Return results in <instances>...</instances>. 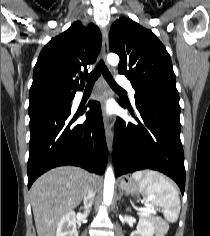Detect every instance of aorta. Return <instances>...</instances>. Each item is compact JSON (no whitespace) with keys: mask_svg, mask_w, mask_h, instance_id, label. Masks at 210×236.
I'll return each instance as SVG.
<instances>
[{"mask_svg":"<svg viewBox=\"0 0 210 236\" xmlns=\"http://www.w3.org/2000/svg\"><path fill=\"white\" fill-rule=\"evenodd\" d=\"M108 63L112 66L119 64V56L115 53H111L107 56ZM114 183L115 177L113 173V168L109 166L105 173L104 179V193L103 201L106 206H109L112 202L113 193H114Z\"/></svg>","mask_w":210,"mask_h":236,"instance_id":"1","label":"aorta"}]
</instances>
